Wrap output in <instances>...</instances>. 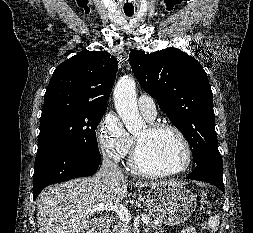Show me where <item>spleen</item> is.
Here are the masks:
<instances>
[{
	"label": "spleen",
	"instance_id": "1",
	"mask_svg": "<svg viewBox=\"0 0 253 233\" xmlns=\"http://www.w3.org/2000/svg\"><path fill=\"white\" fill-rule=\"evenodd\" d=\"M219 216L218 215H215V216H212L209 218L208 220V224H209V227L211 228L212 231H217L218 230V227H219Z\"/></svg>",
	"mask_w": 253,
	"mask_h": 233
}]
</instances>
